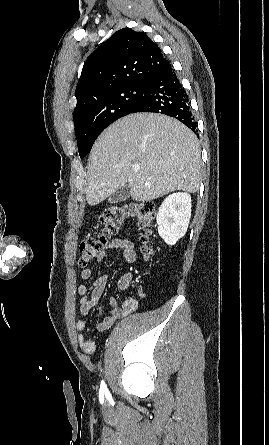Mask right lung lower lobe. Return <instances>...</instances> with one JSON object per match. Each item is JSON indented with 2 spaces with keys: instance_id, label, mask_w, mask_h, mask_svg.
<instances>
[{
  "instance_id": "obj_1",
  "label": "right lung lower lobe",
  "mask_w": 269,
  "mask_h": 445,
  "mask_svg": "<svg viewBox=\"0 0 269 445\" xmlns=\"http://www.w3.org/2000/svg\"><path fill=\"white\" fill-rule=\"evenodd\" d=\"M136 112H155L174 117L197 133L188 95L170 63L150 79L147 92L131 113Z\"/></svg>"
}]
</instances>
